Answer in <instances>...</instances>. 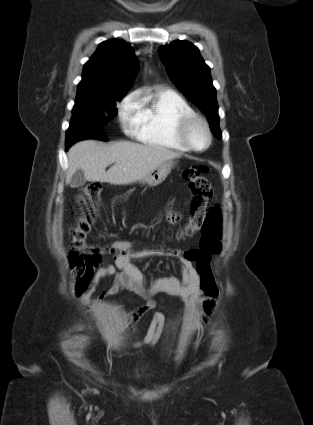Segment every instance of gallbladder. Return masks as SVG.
<instances>
[{
    "label": "gallbladder",
    "instance_id": "obj_1",
    "mask_svg": "<svg viewBox=\"0 0 313 425\" xmlns=\"http://www.w3.org/2000/svg\"><path fill=\"white\" fill-rule=\"evenodd\" d=\"M86 182L84 173L82 170H77L71 177V186L72 187H80L83 186Z\"/></svg>",
    "mask_w": 313,
    "mask_h": 425
}]
</instances>
